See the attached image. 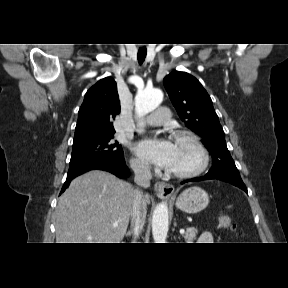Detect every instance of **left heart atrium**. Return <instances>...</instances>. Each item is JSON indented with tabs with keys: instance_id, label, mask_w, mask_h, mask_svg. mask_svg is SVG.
<instances>
[{
	"instance_id": "left-heart-atrium-1",
	"label": "left heart atrium",
	"mask_w": 288,
	"mask_h": 288,
	"mask_svg": "<svg viewBox=\"0 0 288 288\" xmlns=\"http://www.w3.org/2000/svg\"><path fill=\"white\" fill-rule=\"evenodd\" d=\"M135 153L143 160L160 168H167L172 162L175 146L165 138H146L139 141L134 147Z\"/></svg>"
}]
</instances>
